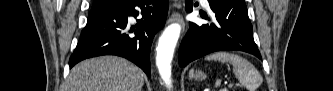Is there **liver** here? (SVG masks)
<instances>
[{
  "mask_svg": "<svg viewBox=\"0 0 333 91\" xmlns=\"http://www.w3.org/2000/svg\"><path fill=\"white\" fill-rule=\"evenodd\" d=\"M143 84L140 68L123 58L104 56L74 66L64 91H141Z\"/></svg>",
  "mask_w": 333,
  "mask_h": 91,
  "instance_id": "6515ba94",
  "label": "liver"
}]
</instances>
